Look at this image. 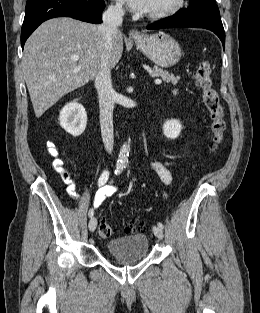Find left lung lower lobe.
Returning <instances> with one entry per match:
<instances>
[{"label": "left lung lower lobe", "mask_w": 260, "mask_h": 313, "mask_svg": "<svg viewBox=\"0 0 260 313\" xmlns=\"http://www.w3.org/2000/svg\"><path fill=\"white\" fill-rule=\"evenodd\" d=\"M178 28V27H194L205 28L214 32L222 41L223 47L225 46V32L222 23L207 20L190 18L185 16L167 17L162 23L151 24L147 26V29H162V28Z\"/></svg>", "instance_id": "obj_1"}]
</instances>
